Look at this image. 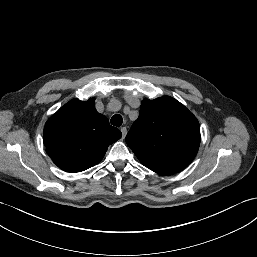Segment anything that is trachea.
<instances>
[{"label":"trachea","instance_id":"obj_1","mask_svg":"<svg viewBox=\"0 0 257 257\" xmlns=\"http://www.w3.org/2000/svg\"><path fill=\"white\" fill-rule=\"evenodd\" d=\"M110 122L112 125L119 127L122 125L123 122L122 116L119 114H115L114 116H112Z\"/></svg>","mask_w":257,"mask_h":257}]
</instances>
